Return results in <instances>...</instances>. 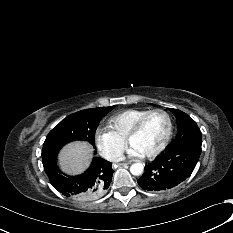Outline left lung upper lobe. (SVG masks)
<instances>
[{
  "instance_id": "left-lung-upper-lobe-1",
  "label": "left lung upper lobe",
  "mask_w": 233,
  "mask_h": 233,
  "mask_svg": "<svg viewBox=\"0 0 233 233\" xmlns=\"http://www.w3.org/2000/svg\"><path fill=\"white\" fill-rule=\"evenodd\" d=\"M177 120V136L168 146L172 147H199L202 144V135L196 122L186 113L178 109L168 108Z\"/></svg>"
}]
</instances>
